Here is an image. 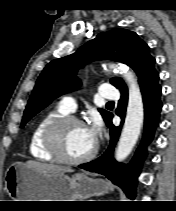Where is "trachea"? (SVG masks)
<instances>
[{
  "mask_svg": "<svg viewBox=\"0 0 176 211\" xmlns=\"http://www.w3.org/2000/svg\"><path fill=\"white\" fill-rule=\"evenodd\" d=\"M107 104H114V102H113V101H111V102H108Z\"/></svg>",
  "mask_w": 176,
  "mask_h": 211,
  "instance_id": "obj_1",
  "label": "trachea"
}]
</instances>
